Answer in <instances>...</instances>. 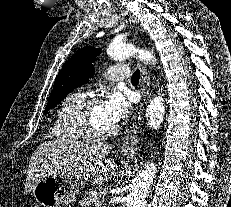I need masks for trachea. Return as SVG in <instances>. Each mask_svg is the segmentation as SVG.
Listing matches in <instances>:
<instances>
[{
    "label": "trachea",
    "mask_w": 231,
    "mask_h": 207,
    "mask_svg": "<svg viewBox=\"0 0 231 207\" xmlns=\"http://www.w3.org/2000/svg\"><path fill=\"white\" fill-rule=\"evenodd\" d=\"M139 79H140V71H139V69H137V70L133 73V75H132V77H131V82H132V83H138V82H139Z\"/></svg>",
    "instance_id": "1"
}]
</instances>
